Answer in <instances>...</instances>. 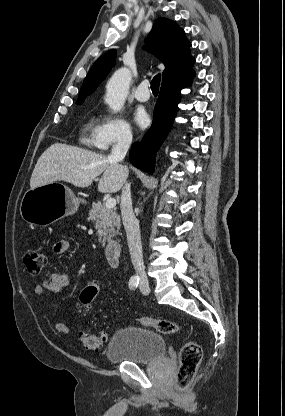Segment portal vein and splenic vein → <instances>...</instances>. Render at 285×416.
Instances as JSON below:
<instances>
[{
	"instance_id": "18ae733b",
	"label": "portal vein and splenic vein",
	"mask_w": 285,
	"mask_h": 416,
	"mask_svg": "<svg viewBox=\"0 0 285 416\" xmlns=\"http://www.w3.org/2000/svg\"><path fill=\"white\" fill-rule=\"evenodd\" d=\"M105 206L106 208H115L116 200H114V198H108V200H106Z\"/></svg>"
}]
</instances>
